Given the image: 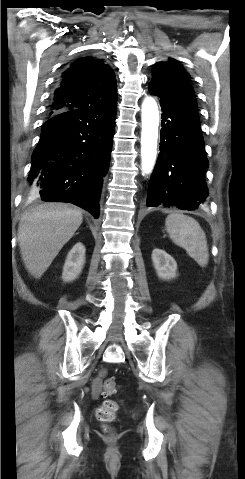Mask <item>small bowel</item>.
I'll return each mask as SVG.
<instances>
[{
	"mask_svg": "<svg viewBox=\"0 0 245 479\" xmlns=\"http://www.w3.org/2000/svg\"><path fill=\"white\" fill-rule=\"evenodd\" d=\"M106 372L105 371H101L98 375V377H96L93 381V385H92V395L94 398H99L101 396H104V392H103V389H102V380H103V377L105 376Z\"/></svg>",
	"mask_w": 245,
	"mask_h": 479,
	"instance_id": "c3829d8e",
	"label": "small bowel"
}]
</instances>
